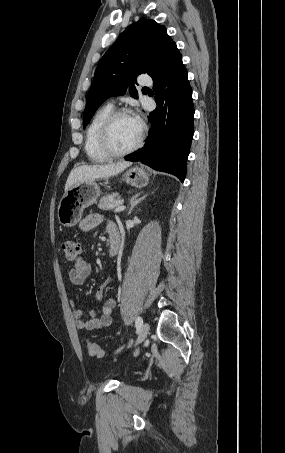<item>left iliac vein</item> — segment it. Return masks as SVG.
Here are the masks:
<instances>
[{
    "instance_id": "1",
    "label": "left iliac vein",
    "mask_w": 285,
    "mask_h": 453,
    "mask_svg": "<svg viewBox=\"0 0 285 453\" xmlns=\"http://www.w3.org/2000/svg\"><path fill=\"white\" fill-rule=\"evenodd\" d=\"M148 333H149V324L144 323L140 328L139 335H138L135 345H138L141 342H143L145 340V338L147 337Z\"/></svg>"
}]
</instances>
